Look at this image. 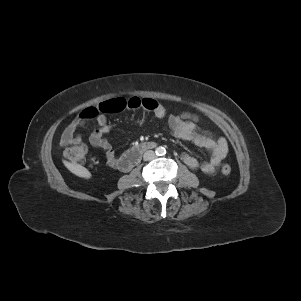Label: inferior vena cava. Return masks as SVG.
<instances>
[{"instance_id": "602c4592", "label": "inferior vena cava", "mask_w": 301, "mask_h": 301, "mask_svg": "<svg viewBox=\"0 0 301 301\" xmlns=\"http://www.w3.org/2000/svg\"><path fill=\"white\" fill-rule=\"evenodd\" d=\"M155 158H156V154H155V152L152 151V150L146 151V152L144 153V155H143V159H144L145 161H150V160H153V159H155Z\"/></svg>"}]
</instances>
